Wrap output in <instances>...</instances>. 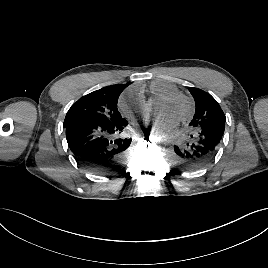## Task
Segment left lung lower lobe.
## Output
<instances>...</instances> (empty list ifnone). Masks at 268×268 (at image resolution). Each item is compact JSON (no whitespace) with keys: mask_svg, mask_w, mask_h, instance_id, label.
<instances>
[{"mask_svg":"<svg viewBox=\"0 0 268 268\" xmlns=\"http://www.w3.org/2000/svg\"><path fill=\"white\" fill-rule=\"evenodd\" d=\"M225 130V122L208 124L195 130L188 141L169 150V162L182 171L204 167L217 154Z\"/></svg>","mask_w":268,"mask_h":268,"instance_id":"1","label":"left lung lower lobe"}]
</instances>
